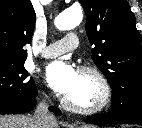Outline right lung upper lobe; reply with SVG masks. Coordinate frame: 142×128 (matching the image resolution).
I'll use <instances>...</instances> for the list:
<instances>
[{
  "mask_svg": "<svg viewBox=\"0 0 142 128\" xmlns=\"http://www.w3.org/2000/svg\"><path fill=\"white\" fill-rule=\"evenodd\" d=\"M35 20L30 0H0V66L24 64Z\"/></svg>",
  "mask_w": 142,
  "mask_h": 128,
  "instance_id": "1",
  "label": "right lung upper lobe"
}]
</instances>
